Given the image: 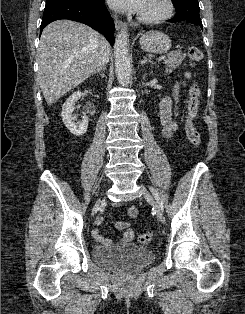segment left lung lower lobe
Returning a JSON list of instances; mask_svg holds the SVG:
<instances>
[{"label": "left lung lower lobe", "mask_w": 245, "mask_h": 314, "mask_svg": "<svg viewBox=\"0 0 245 314\" xmlns=\"http://www.w3.org/2000/svg\"><path fill=\"white\" fill-rule=\"evenodd\" d=\"M181 20H186V19L174 17V18H172L171 20H168V21L178 22V21H181ZM193 23H196V22H193ZM196 24H198L202 28V24L201 23H196Z\"/></svg>", "instance_id": "1"}]
</instances>
